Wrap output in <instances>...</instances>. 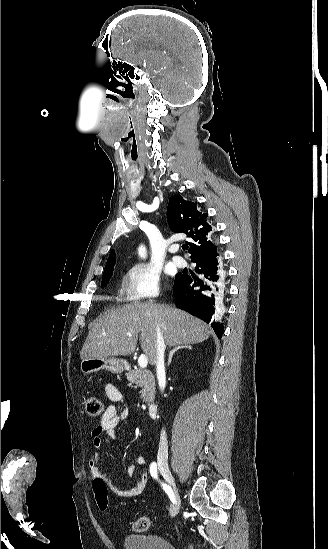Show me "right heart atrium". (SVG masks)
Segmentation results:
<instances>
[{"instance_id": "d8ad5b80", "label": "right heart atrium", "mask_w": 328, "mask_h": 549, "mask_svg": "<svg viewBox=\"0 0 328 549\" xmlns=\"http://www.w3.org/2000/svg\"><path fill=\"white\" fill-rule=\"evenodd\" d=\"M121 291L127 303H154L159 294V274L151 264L135 262L122 272Z\"/></svg>"}]
</instances>
